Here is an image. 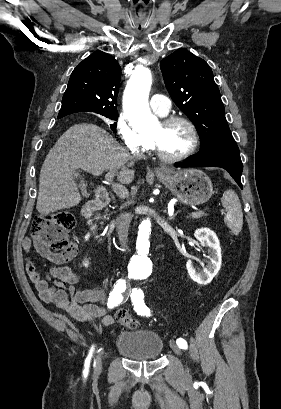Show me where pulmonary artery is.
I'll return each mask as SVG.
<instances>
[{"label":"pulmonary artery","instance_id":"pulmonary-artery-1","mask_svg":"<svg viewBox=\"0 0 281 409\" xmlns=\"http://www.w3.org/2000/svg\"><path fill=\"white\" fill-rule=\"evenodd\" d=\"M156 97H149L148 105L150 106L151 111L159 115H165L168 113L169 106L171 105L170 97H161L162 93L157 91L155 93Z\"/></svg>","mask_w":281,"mask_h":409}]
</instances>
